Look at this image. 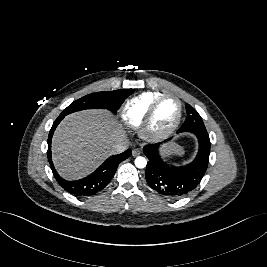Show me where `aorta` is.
<instances>
[{"instance_id": "aorta-1", "label": "aorta", "mask_w": 267, "mask_h": 267, "mask_svg": "<svg viewBox=\"0 0 267 267\" xmlns=\"http://www.w3.org/2000/svg\"><path fill=\"white\" fill-rule=\"evenodd\" d=\"M146 165H147V160L144 158V157H142V156H139V157H137L136 159H135V166L137 167V168H145L146 167Z\"/></svg>"}]
</instances>
